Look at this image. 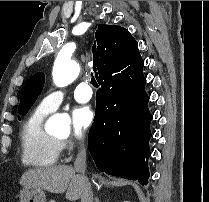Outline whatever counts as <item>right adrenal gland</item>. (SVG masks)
I'll use <instances>...</instances> for the list:
<instances>
[{
  "instance_id": "obj_1",
  "label": "right adrenal gland",
  "mask_w": 209,
  "mask_h": 202,
  "mask_svg": "<svg viewBox=\"0 0 209 202\" xmlns=\"http://www.w3.org/2000/svg\"><path fill=\"white\" fill-rule=\"evenodd\" d=\"M95 202H99V199H98V197H95Z\"/></svg>"
}]
</instances>
